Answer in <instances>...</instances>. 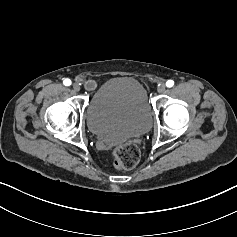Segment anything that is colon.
I'll return each mask as SVG.
<instances>
[{
    "mask_svg": "<svg viewBox=\"0 0 237 237\" xmlns=\"http://www.w3.org/2000/svg\"><path fill=\"white\" fill-rule=\"evenodd\" d=\"M112 157L114 164L121 169H132L140 160L138 147L131 143H126L113 149Z\"/></svg>",
    "mask_w": 237,
    "mask_h": 237,
    "instance_id": "colon-1",
    "label": "colon"
}]
</instances>
